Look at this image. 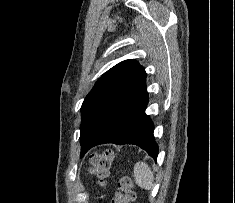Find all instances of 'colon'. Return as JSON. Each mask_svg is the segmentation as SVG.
I'll return each instance as SVG.
<instances>
[{"label":"colon","instance_id":"colon-1","mask_svg":"<svg viewBox=\"0 0 235 203\" xmlns=\"http://www.w3.org/2000/svg\"><path fill=\"white\" fill-rule=\"evenodd\" d=\"M115 153L112 150H104L92 154L90 158V172L98 178L101 184H105L109 177V167L114 159ZM136 198L134 183L132 179L123 175L118 182L115 196L111 203H132Z\"/></svg>","mask_w":235,"mask_h":203}]
</instances>
